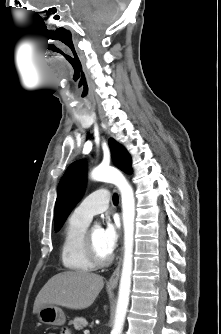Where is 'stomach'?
Wrapping results in <instances>:
<instances>
[{
    "mask_svg": "<svg viewBox=\"0 0 221 334\" xmlns=\"http://www.w3.org/2000/svg\"><path fill=\"white\" fill-rule=\"evenodd\" d=\"M38 319L48 325L61 326L66 322L63 310L55 305L47 306L37 312Z\"/></svg>",
    "mask_w": 221,
    "mask_h": 334,
    "instance_id": "1",
    "label": "stomach"
}]
</instances>
